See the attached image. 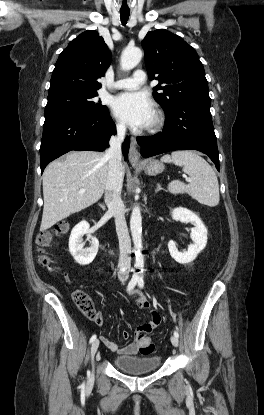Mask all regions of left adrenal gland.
<instances>
[{
    "instance_id": "1",
    "label": "left adrenal gland",
    "mask_w": 264,
    "mask_h": 415,
    "mask_svg": "<svg viewBox=\"0 0 264 415\" xmlns=\"http://www.w3.org/2000/svg\"><path fill=\"white\" fill-rule=\"evenodd\" d=\"M160 190H162V187H161V185H160V184H157V188H156L155 192L157 193V192H158V191H160Z\"/></svg>"
}]
</instances>
